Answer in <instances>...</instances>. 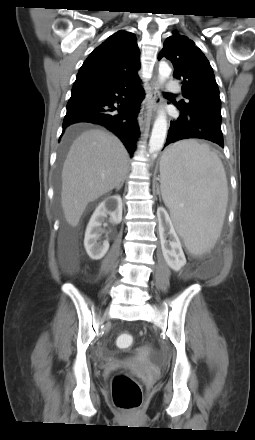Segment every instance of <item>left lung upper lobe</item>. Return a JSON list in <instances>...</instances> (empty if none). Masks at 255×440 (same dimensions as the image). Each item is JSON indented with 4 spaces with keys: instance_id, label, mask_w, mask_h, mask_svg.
Listing matches in <instances>:
<instances>
[{
    "instance_id": "1",
    "label": "left lung upper lobe",
    "mask_w": 255,
    "mask_h": 440,
    "mask_svg": "<svg viewBox=\"0 0 255 440\" xmlns=\"http://www.w3.org/2000/svg\"><path fill=\"white\" fill-rule=\"evenodd\" d=\"M172 33L164 42L158 60L169 59L174 66V77L182 80V95L189 102L180 101L179 108L221 116L219 89L209 61L192 40L177 31Z\"/></svg>"
}]
</instances>
